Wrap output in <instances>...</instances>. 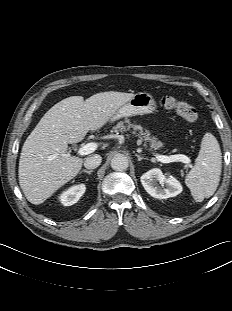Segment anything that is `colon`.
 <instances>
[{"instance_id":"5ec220e1","label":"colon","mask_w":232,"mask_h":311,"mask_svg":"<svg viewBox=\"0 0 232 311\" xmlns=\"http://www.w3.org/2000/svg\"><path fill=\"white\" fill-rule=\"evenodd\" d=\"M160 104L167 110L174 111L187 122H195L198 119V111L189 102L177 100L171 96H164L160 99Z\"/></svg>"}]
</instances>
